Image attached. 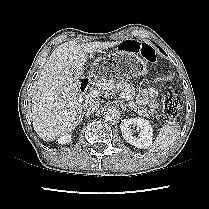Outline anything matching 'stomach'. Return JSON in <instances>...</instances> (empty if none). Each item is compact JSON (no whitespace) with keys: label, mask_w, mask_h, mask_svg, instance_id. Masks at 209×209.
Wrapping results in <instances>:
<instances>
[{"label":"stomach","mask_w":209,"mask_h":209,"mask_svg":"<svg viewBox=\"0 0 209 209\" xmlns=\"http://www.w3.org/2000/svg\"><path fill=\"white\" fill-rule=\"evenodd\" d=\"M90 77L97 84L125 81L147 73L146 62L136 53L119 51L103 56L90 66Z\"/></svg>","instance_id":"0dacf381"}]
</instances>
